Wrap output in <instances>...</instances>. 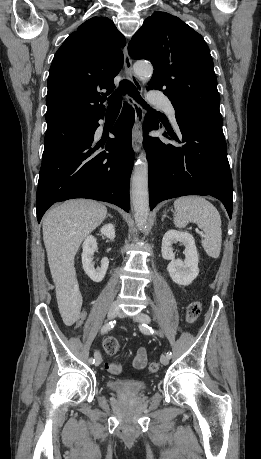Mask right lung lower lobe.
<instances>
[{
	"mask_svg": "<svg viewBox=\"0 0 261 459\" xmlns=\"http://www.w3.org/2000/svg\"><path fill=\"white\" fill-rule=\"evenodd\" d=\"M103 118L94 121L89 137L43 158L36 195L38 222L52 204L73 198L105 201L129 211L134 110L125 103L112 128L115 138L95 145L94 133ZM104 144L108 152H99Z\"/></svg>",
	"mask_w": 261,
	"mask_h": 459,
	"instance_id": "obj_1",
	"label": "right lung lower lobe"
}]
</instances>
